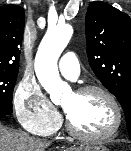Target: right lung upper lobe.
I'll use <instances>...</instances> for the list:
<instances>
[{
	"label": "right lung upper lobe",
	"instance_id": "right-lung-upper-lobe-1",
	"mask_svg": "<svg viewBox=\"0 0 131 151\" xmlns=\"http://www.w3.org/2000/svg\"><path fill=\"white\" fill-rule=\"evenodd\" d=\"M25 11L16 5L0 8V69L19 70Z\"/></svg>",
	"mask_w": 131,
	"mask_h": 151
}]
</instances>
